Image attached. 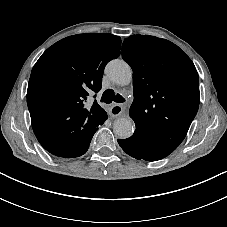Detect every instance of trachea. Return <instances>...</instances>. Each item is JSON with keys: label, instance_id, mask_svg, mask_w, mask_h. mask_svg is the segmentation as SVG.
<instances>
[{"label": "trachea", "instance_id": "obj_1", "mask_svg": "<svg viewBox=\"0 0 227 227\" xmlns=\"http://www.w3.org/2000/svg\"><path fill=\"white\" fill-rule=\"evenodd\" d=\"M123 103L125 102V99L120 95V94H115L114 90L112 89H107L101 97V102H104L106 104L112 103Z\"/></svg>", "mask_w": 227, "mask_h": 227}]
</instances>
